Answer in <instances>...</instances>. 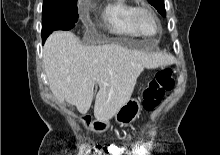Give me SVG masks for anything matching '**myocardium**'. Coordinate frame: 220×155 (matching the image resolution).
Returning <instances> with one entry per match:
<instances>
[{
	"mask_svg": "<svg viewBox=\"0 0 220 155\" xmlns=\"http://www.w3.org/2000/svg\"><path fill=\"white\" fill-rule=\"evenodd\" d=\"M142 13H148L156 22L157 25V31L155 32V34L153 36L158 35L161 32V23L160 20L158 18V16L156 15V13L149 7L147 6H138V7H134V9L132 10L131 13V23L135 29V31L143 37H148V35H146L145 33L142 32V30L139 27V23H138V18Z\"/></svg>",
	"mask_w": 220,
	"mask_h": 155,
	"instance_id": "obj_1",
	"label": "myocardium"
}]
</instances>
